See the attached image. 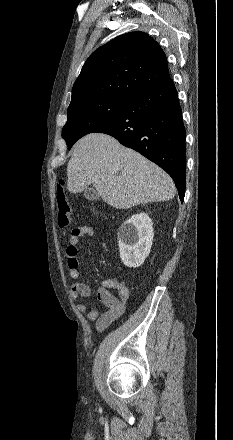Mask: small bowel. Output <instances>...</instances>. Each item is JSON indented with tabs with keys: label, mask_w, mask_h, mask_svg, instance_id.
I'll use <instances>...</instances> for the list:
<instances>
[{
	"label": "small bowel",
	"mask_w": 233,
	"mask_h": 440,
	"mask_svg": "<svg viewBox=\"0 0 233 440\" xmlns=\"http://www.w3.org/2000/svg\"><path fill=\"white\" fill-rule=\"evenodd\" d=\"M93 235L94 229L88 225L74 228L71 232L69 243L66 248V254L68 257L69 274L73 279H79L81 277L77 259L80 239L91 237ZM109 289H116L118 291V296L110 293ZM71 294L73 299L82 300L90 296L91 289L83 282H76L73 285ZM96 296L98 300L107 307V310L104 313L100 314L98 308H92L88 311L85 303H80L78 305V311L83 314L87 320L96 321V329L98 331H103L124 314L130 292L124 284L116 279H105L100 282Z\"/></svg>",
	"instance_id": "obj_1"
}]
</instances>
